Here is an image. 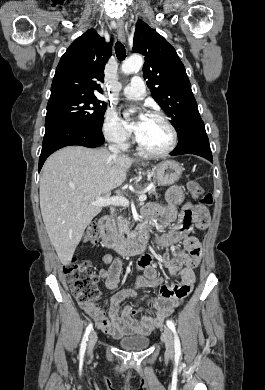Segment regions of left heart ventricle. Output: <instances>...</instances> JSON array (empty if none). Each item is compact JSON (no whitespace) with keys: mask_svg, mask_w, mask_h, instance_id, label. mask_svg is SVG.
I'll return each instance as SVG.
<instances>
[{"mask_svg":"<svg viewBox=\"0 0 265 390\" xmlns=\"http://www.w3.org/2000/svg\"><path fill=\"white\" fill-rule=\"evenodd\" d=\"M140 142L151 151H162L168 147L171 135L165 124L151 116H146L137 132Z\"/></svg>","mask_w":265,"mask_h":390,"instance_id":"obj_1","label":"left heart ventricle"}]
</instances>
